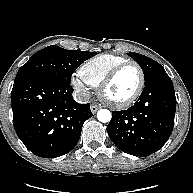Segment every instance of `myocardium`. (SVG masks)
Listing matches in <instances>:
<instances>
[{
    "instance_id": "1",
    "label": "myocardium",
    "mask_w": 193,
    "mask_h": 193,
    "mask_svg": "<svg viewBox=\"0 0 193 193\" xmlns=\"http://www.w3.org/2000/svg\"><path fill=\"white\" fill-rule=\"evenodd\" d=\"M128 66H134L139 73V84L138 87L136 89V91L126 100L123 101H112L110 99L107 98L106 96V90L109 87V85L113 82V80L115 79V77L126 67ZM145 87V74L144 71L142 69V67L134 62V61H126L118 66H116L114 69H112L107 75L106 77L102 80L101 84L98 87V94L100 99L108 106H110L111 108L114 109H125L130 107L131 105H133L137 99L140 97V95L143 92V89Z\"/></svg>"
}]
</instances>
